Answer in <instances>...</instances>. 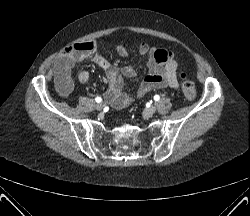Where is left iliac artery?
<instances>
[{
  "instance_id": "obj_1",
  "label": "left iliac artery",
  "mask_w": 250,
  "mask_h": 216,
  "mask_svg": "<svg viewBox=\"0 0 250 216\" xmlns=\"http://www.w3.org/2000/svg\"><path fill=\"white\" fill-rule=\"evenodd\" d=\"M159 99H160V96H159V95H155V96H154V100H155V101H159Z\"/></svg>"
}]
</instances>
